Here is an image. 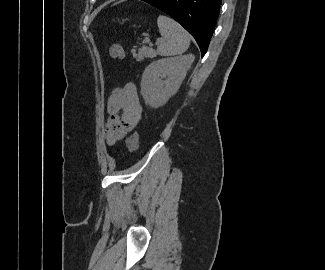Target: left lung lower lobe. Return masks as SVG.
<instances>
[{
    "label": "left lung lower lobe",
    "instance_id": "obj_1",
    "mask_svg": "<svg viewBox=\"0 0 325 270\" xmlns=\"http://www.w3.org/2000/svg\"><path fill=\"white\" fill-rule=\"evenodd\" d=\"M180 23L196 40L203 57L219 15L222 0H142Z\"/></svg>",
    "mask_w": 325,
    "mask_h": 270
}]
</instances>
